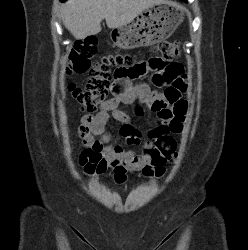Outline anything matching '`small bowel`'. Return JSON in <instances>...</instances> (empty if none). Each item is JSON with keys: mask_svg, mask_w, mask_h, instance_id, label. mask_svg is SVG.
Here are the masks:
<instances>
[{"mask_svg": "<svg viewBox=\"0 0 248 250\" xmlns=\"http://www.w3.org/2000/svg\"><path fill=\"white\" fill-rule=\"evenodd\" d=\"M125 70L119 69L115 73L111 86L112 98L105 101L96 114H85L78 128L83 144L87 149H92L96 153V157L84 166L85 172L101 174L110 168L117 183H123L128 173L144 171L151 164L154 152L153 145L149 143L145 145L140 154L127 151L120 144H106L108 136L105 129L111 121L119 124L118 131L130 143L140 141V133L132 126L131 116L120 110L119 105L131 104L135 100L150 104L151 110L159 120L149 133L150 138L153 139L161 133H180L186 110V102L182 99V95L186 91L187 82L183 74V66L180 63L160 64L159 69L162 73L175 76L171 86L180 95L183 102V110L180 112L175 110V104L154 107L157 103L166 101L164 94L153 92L145 83H132L127 76L122 75ZM136 72L137 77H140L148 72H156V70L151 68L149 61L137 64Z\"/></svg>", "mask_w": 248, "mask_h": 250, "instance_id": "1", "label": "small bowel"}]
</instances>
